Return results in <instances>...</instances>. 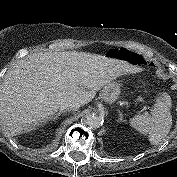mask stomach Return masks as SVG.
I'll return each instance as SVG.
<instances>
[{
  "label": "stomach",
  "instance_id": "obj_1",
  "mask_svg": "<svg viewBox=\"0 0 177 177\" xmlns=\"http://www.w3.org/2000/svg\"><path fill=\"white\" fill-rule=\"evenodd\" d=\"M108 56L110 58L126 61L132 67L136 68L142 67L147 62L146 58L142 54L126 48L111 49L108 51ZM120 92V84L116 81H112L104 86L100 93V97L106 103L112 104L118 100Z\"/></svg>",
  "mask_w": 177,
  "mask_h": 177
}]
</instances>
